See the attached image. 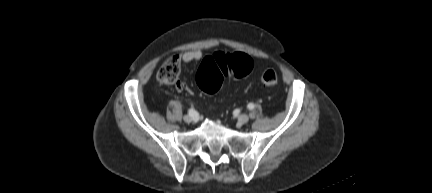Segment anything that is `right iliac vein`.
<instances>
[{
    "mask_svg": "<svg viewBox=\"0 0 432 193\" xmlns=\"http://www.w3.org/2000/svg\"><path fill=\"white\" fill-rule=\"evenodd\" d=\"M183 119L186 123H190L192 121L196 122L198 120L197 116L191 117L189 115H185Z\"/></svg>",
    "mask_w": 432,
    "mask_h": 193,
    "instance_id": "right-iliac-vein-1",
    "label": "right iliac vein"
}]
</instances>
